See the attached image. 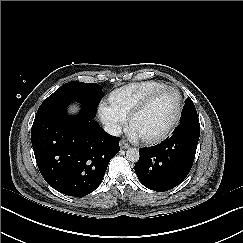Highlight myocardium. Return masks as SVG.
Listing matches in <instances>:
<instances>
[{"mask_svg":"<svg viewBox=\"0 0 243 243\" xmlns=\"http://www.w3.org/2000/svg\"><path fill=\"white\" fill-rule=\"evenodd\" d=\"M168 91H173L178 95V104H177L176 112H175V115H174L172 121L170 122V124L166 127V129L162 133H160L156 136H146V135L139 133L134 125L135 120L138 117V115L152 100H154L159 95H161L165 92H168ZM182 109H183V97H182L181 92L176 87L167 86V87H164V88L152 93L148 97H146L131 111V113L128 117V127H129L130 131L135 133L139 138L142 139V141H144L146 143H156V142H159V141L165 139L171 133V131L177 126V124L181 118V115H182Z\"/></svg>","mask_w":243,"mask_h":243,"instance_id":"myocardium-1","label":"myocardium"}]
</instances>
